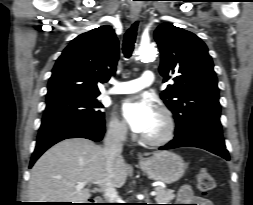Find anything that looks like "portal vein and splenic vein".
<instances>
[{"label":"portal vein and splenic vein","mask_w":253,"mask_h":205,"mask_svg":"<svg viewBox=\"0 0 253 205\" xmlns=\"http://www.w3.org/2000/svg\"><path fill=\"white\" fill-rule=\"evenodd\" d=\"M85 185H86L85 182H79V183L75 186V188H76L77 190H80V189L84 188ZM150 194H151V196H155V195H156V192H155V191H152Z\"/></svg>","instance_id":"portal-vein-and-splenic-vein-1"}]
</instances>
